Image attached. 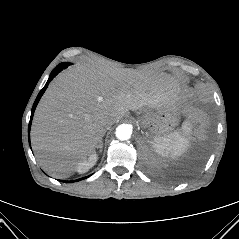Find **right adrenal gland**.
<instances>
[{"instance_id": "2a0ac1e0", "label": "right adrenal gland", "mask_w": 239, "mask_h": 239, "mask_svg": "<svg viewBox=\"0 0 239 239\" xmlns=\"http://www.w3.org/2000/svg\"><path fill=\"white\" fill-rule=\"evenodd\" d=\"M97 148H99V152H102V148H103V141L102 140L98 144Z\"/></svg>"}]
</instances>
